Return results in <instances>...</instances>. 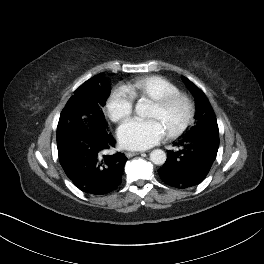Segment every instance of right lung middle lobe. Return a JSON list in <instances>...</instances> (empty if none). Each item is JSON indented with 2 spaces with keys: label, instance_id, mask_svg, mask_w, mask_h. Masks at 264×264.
Masks as SVG:
<instances>
[{
  "label": "right lung middle lobe",
  "instance_id": "obj_1",
  "mask_svg": "<svg viewBox=\"0 0 264 264\" xmlns=\"http://www.w3.org/2000/svg\"><path fill=\"white\" fill-rule=\"evenodd\" d=\"M109 93L110 84L103 73L77 88L62 110L57 127V138H60L62 132L87 122H96L107 127L102 109Z\"/></svg>",
  "mask_w": 264,
  "mask_h": 264
}]
</instances>
